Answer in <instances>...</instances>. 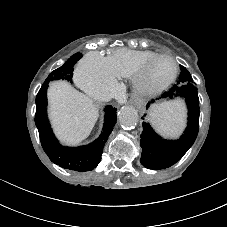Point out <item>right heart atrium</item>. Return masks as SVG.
<instances>
[{
  "label": "right heart atrium",
  "mask_w": 227,
  "mask_h": 227,
  "mask_svg": "<svg viewBox=\"0 0 227 227\" xmlns=\"http://www.w3.org/2000/svg\"><path fill=\"white\" fill-rule=\"evenodd\" d=\"M76 82L81 89L97 99L113 95L118 84L107 58L98 52L84 56L76 71Z\"/></svg>",
  "instance_id": "obj_1"
}]
</instances>
